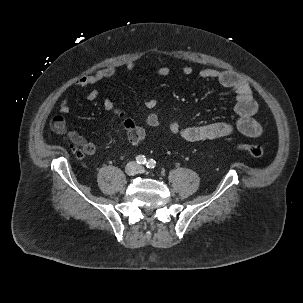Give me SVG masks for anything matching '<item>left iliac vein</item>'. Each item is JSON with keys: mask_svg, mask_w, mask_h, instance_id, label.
<instances>
[{"mask_svg": "<svg viewBox=\"0 0 303 303\" xmlns=\"http://www.w3.org/2000/svg\"><path fill=\"white\" fill-rule=\"evenodd\" d=\"M144 171H145V170H144V168H143V167H141V166H140V167H138V172H139V173H143Z\"/></svg>", "mask_w": 303, "mask_h": 303, "instance_id": "1", "label": "left iliac vein"}]
</instances>
